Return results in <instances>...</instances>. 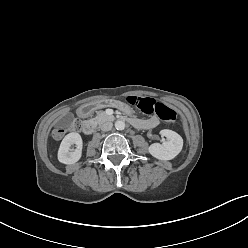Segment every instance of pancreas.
<instances>
[{"label": "pancreas", "mask_w": 248, "mask_h": 248, "mask_svg": "<svg viewBox=\"0 0 248 248\" xmlns=\"http://www.w3.org/2000/svg\"><path fill=\"white\" fill-rule=\"evenodd\" d=\"M113 117L107 115L104 111H98L97 112V116L94 118V120L98 123V124H102L103 122L106 121H110L112 120Z\"/></svg>", "instance_id": "1"}]
</instances>
